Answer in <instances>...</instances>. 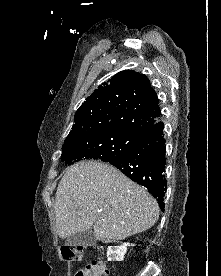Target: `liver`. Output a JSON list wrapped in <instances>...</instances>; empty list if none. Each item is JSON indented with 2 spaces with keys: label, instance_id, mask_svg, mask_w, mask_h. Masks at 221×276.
<instances>
[{
  "label": "liver",
  "instance_id": "obj_1",
  "mask_svg": "<svg viewBox=\"0 0 221 276\" xmlns=\"http://www.w3.org/2000/svg\"><path fill=\"white\" fill-rule=\"evenodd\" d=\"M54 213L60 238L93 227L96 240L111 243L151 228L159 218V206L115 167L83 161L66 169Z\"/></svg>",
  "mask_w": 221,
  "mask_h": 276
}]
</instances>
